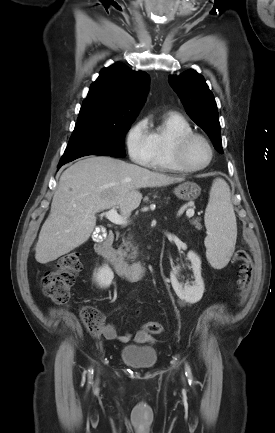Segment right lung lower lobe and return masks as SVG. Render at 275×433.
Here are the masks:
<instances>
[{"label": "right lung lower lobe", "mask_w": 275, "mask_h": 433, "mask_svg": "<svg viewBox=\"0 0 275 433\" xmlns=\"http://www.w3.org/2000/svg\"><path fill=\"white\" fill-rule=\"evenodd\" d=\"M62 165H64V164H59V165H58V168H60Z\"/></svg>", "instance_id": "obj_1"}]
</instances>
